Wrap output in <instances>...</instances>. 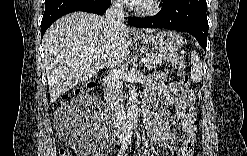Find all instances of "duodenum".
Here are the masks:
<instances>
[{
  "label": "duodenum",
  "mask_w": 247,
  "mask_h": 156,
  "mask_svg": "<svg viewBox=\"0 0 247 156\" xmlns=\"http://www.w3.org/2000/svg\"><path fill=\"white\" fill-rule=\"evenodd\" d=\"M104 92H105L106 96L108 97L107 106L111 110H114V109L116 110V108L119 104V99L117 97H115V95L113 94L112 84H111V80L109 78H106L104 80ZM140 115H141L143 120L148 121L152 117V112L147 106H145L141 109Z\"/></svg>",
  "instance_id": "410a0bca"
}]
</instances>
